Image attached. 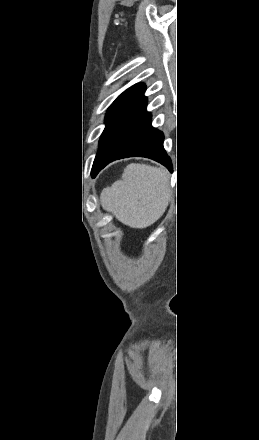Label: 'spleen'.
<instances>
[{
	"label": "spleen",
	"instance_id": "obj_1",
	"mask_svg": "<svg viewBox=\"0 0 259 440\" xmlns=\"http://www.w3.org/2000/svg\"><path fill=\"white\" fill-rule=\"evenodd\" d=\"M172 197L170 176L165 169L131 163L122 179L103 189V209L113 213L123 224L145 228L165 212Z\"/></svg>",
	"mask_w": 259,
	"mask_h": 440
}]
</instances>
